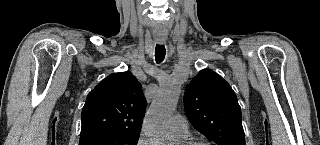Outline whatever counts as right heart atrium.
<instances>
[{
    "label": "right heart atrium",
    "instance_id": "right-heart-atrium-1",
    "mask_svg": "<svg viewBox=\"0 0 320 145\" xmlns=\"http://www.w3.org/2000/svg\"><path fill=\"white\" fill-rule=\"evenodd\" d=\"M137 145H150V142L145 135L141 134L137 140Z\"/></svg>",
    "mask_w": 320,
    "mask_h": 145
}]
</instances>
